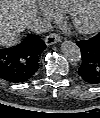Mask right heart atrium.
I'll return each instance as SVG.
<instances>
[{"label": "right heart atrium", "instance_id": "d8ad5b80", "mask_svg": "<svg viewBox=\"0 0 100 118\" xmlns=\"http://www.w3.org/2000/svg\"><path fill=\"white\" fill-rule=\"evenodd\" d=\"M38 8L41 13L52 20H59L61 13L54 7L50 0H37Z\"/></svg>", "mask_w": 100, "mask_h": 118}]
</instances>
